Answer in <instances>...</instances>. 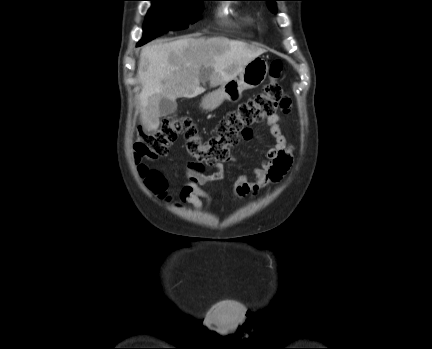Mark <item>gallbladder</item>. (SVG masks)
Segmentation results:
<instances>
[{
  "label": "gallbladder",
  "instance_id": "bac80fb5",
  "mask_svg": "<svg viewBox=\"0 0 432 349\" xmlns=\"http://www.w3.org/2000/svg\"><path fill=\"white\" fill-rule=\"evenodd\" d=\"M203 72V71H202ZM203 75L201 74V79ZM177 109L176 101L162 98L159 102V112L161 116H167L174 113Z\"/></svg>",
  "mask_w": 432,
  "mask_h": 349
}]
</instances>
